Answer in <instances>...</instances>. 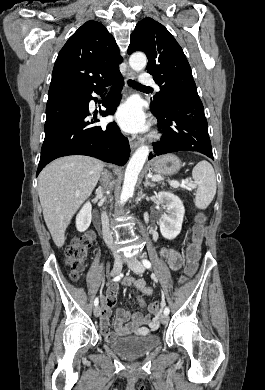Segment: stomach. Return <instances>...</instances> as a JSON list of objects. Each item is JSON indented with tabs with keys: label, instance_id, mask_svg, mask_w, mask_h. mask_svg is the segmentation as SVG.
I'll use <instances>...</instances> for the list:
<instances>
[{
	"label": "stomach",
	"instance_id": "1",
	"mask_svg": "<svg viewBox=\"0 0 265 390\" xmlns=\"http://www.w3.org/2000/svg\"><path fill=\"white\" fill-rule=\"evenodd\" d=\"M150 168L157 174L172 176L180 170L181 161L174 154H166L153 159Z\"/></svg>",
	"mask_w": 265,
	"mask_h": 390
}]
</instances>
